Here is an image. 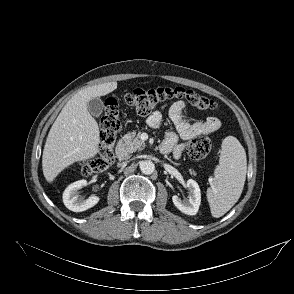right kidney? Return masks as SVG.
Segmentation results:
<instances>
[{
  "label": "right kidney",
  "instance_id": "1",
  "mask_svg": "<svg viewBox=\"0 0 294 294\" xmlns=\"http://www.w3.org/2000/svg\"><path fill=\"white\" fill-rule=\"evenodd\" d=\"M87 185L86 180H79L70 184L63 193L64 205L73 212H82L95 206L100 198L91 196L88 199L79 197L78 190Z\"/></svg>",
  "mask_w": 294,
  "mask_h": 294
}]
</instances>
